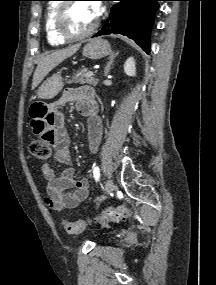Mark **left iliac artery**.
Segmentation results:
<instances>
[{
  "instance_id": "44dca946",
  "label": "left iliac artery",
  "mask_w": 216,
  "mask_h": 285,
  "mask_svg": "<svg viewBox=\"0 0 216 285\" xmlns=\"http://www.w3.org/2000/svg\"><path fill=\"white\" fill-rule=\"evenodd\" d=\"M93 175H94L95 180L98 181L99 178H100V169H99V167H95L93 169Z\"/></svg>"
}]
</instances>
